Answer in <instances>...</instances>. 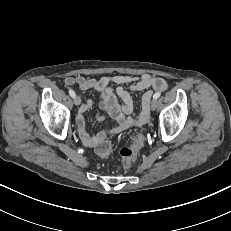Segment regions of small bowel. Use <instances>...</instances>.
I'll list each match as a JSON object with an SVG mask.
<instances>
[{
  "instance_id": "1",
  "label": "small bowel",
  "mask_w": 231,
  "mask_h": 231,
  "mask_svg": "<svg viewBox=\"0 0 231 231\" xmlns=\"http://www.w3.org/2000/svg\"><path fill=\"white\" fill-rule=\"evenodd\" d=\"M64 83L77 86L83 91L92 89L100 93V109L117 122V126L112 130L114 133H119L131 126L145 124L149 117L148 104L152 95V91L149 89L164 91L168 88V84L164 78L150 74H143L141 76L106 75L99 79L74 76L66 77ZM113 84L117 85V87L113 88ZM131 91H144L141 97V112L138 116L133 114L134 102L130 94ZM92 105L93 101L86 99L76 118L80 139L86 147H96L98 142L108 135L106 131H102L96 135L88 133L84 113ZM103 118V115H98L99 120H103Z\"/></svg>"
}]
</instances>
